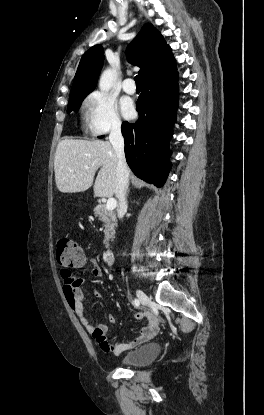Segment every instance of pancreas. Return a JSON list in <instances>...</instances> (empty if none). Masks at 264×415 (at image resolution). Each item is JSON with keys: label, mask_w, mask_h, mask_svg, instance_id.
<instances>
[{"label": "pancreas", "mask_w": 264, "mask_h": 415, "mask_svg": "<svg viewBox=\"0 0 264 415\" xmlns=\"http://www.w3.org/2000/svg\"><path fill=\"white\" fill-rule=\"evenodd\" d=\"M94 214L99 217V219L104 223V240L103 243L106 247L109 246L110 239L113 238L115 234V228L117 226L116 214L114 211L107 210L104 205L98 204L94 208Z\"/></svg>", "instance_id": "1"}]
</instances>
